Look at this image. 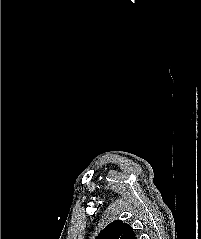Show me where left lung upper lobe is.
<instances>
[{"mask_svg": "<svg viewBox=\"0 0 201 239\" xmlns=\"http://www.w3.org/2000/svg\"><path fill=\"white\" fill-rule=\"evenodd\" d=\"M95 239H137L130 225L115 220L100 231Z\"/></svg>", "mask_w": 201, "mask_h": 239, "instance_id": "left-lung-upper-lobe-1", "label": "left lung upper lobe"}]
</instances>
